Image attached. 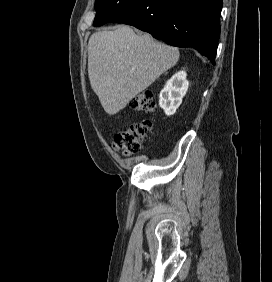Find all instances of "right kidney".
<instances>
[{
	"label": "right kidney",
	"mask_w": 272,
	"mask_h": 282,
	"mask_svg": "<svg viewBox=\"0 0 272 282\" xmlns=\"http://www.w3.org/2000/svg\"><path fill=\"white\" fill-rule=\"evenodd\" d=\"M185 71L175 73L161 90L159 95V105L167 116L175 114L185 96L189 82L186 79Z\"/></svg>",
	"instance_id": "obj_1"
}]
</instances>
